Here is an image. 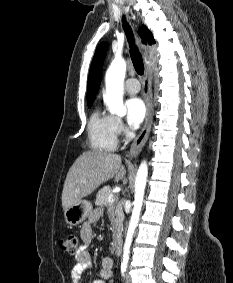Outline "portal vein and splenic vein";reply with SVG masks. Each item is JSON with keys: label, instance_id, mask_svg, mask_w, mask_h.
Returning a JSON list of instances; mask_svg holds the SVG:
<instances>
[{"label": "portal vein and splenic vein", "instance_id": "1", "mask_svg": "<svg viewBox=\"0 0 233 283\" xmlns=\"http://www.w3.org/2000/svg\"><path fill=\"white\" fill-rule=\"evenodd\" d=\"M115 199H116V198H115L114 195H110V196L108 197V201L111 202V203L114 202Z\"/></svg>", "mask_w": 233, "mask_h": 283}]
</instances>
